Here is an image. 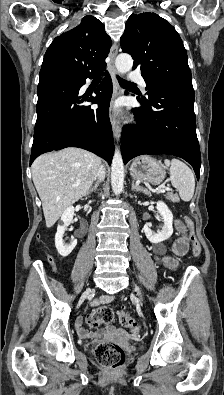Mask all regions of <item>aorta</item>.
I'll return each mask as SVG.
<instances>
[{
	"instance_id": "762f6f07",
	"label": "aorta",
	"mask_w": 224,
	"mask_h": 395,
	"mask_svg": "<svg viewBox=\"0 0 224 395\" xmlns=\"http://www.w3.org/2000/svg\"><path fill=\"white\" fill-rule=\"evenodd\" d=\"M115 66L120 74H125L132 69L133 59L127 53L119 54L115 61ZM124 184V163L121 152L115 148L112 165H111V185L115 195L123 191Z\"/></svg>"
}]
</instances>
